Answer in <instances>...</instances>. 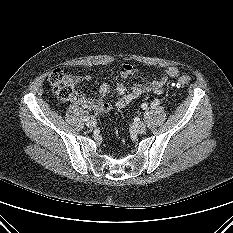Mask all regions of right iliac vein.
I'll return each instance as SVG.
<instances>
[{
	"mask_svg": "<svg viewBox=\"0 0 233 233\" xmlns=\"http://www.w3.org/2000/svg\"><path fill=\"white\" fill-rule=\"evenodd\" d=\"M97 124V121L95 118H91L87 121L86 125L89 127V128H94Z\"/></svg>",
	"mask_w": 233,
	"mask_h": 233,
	"instance_id": "obj_1",
	"label": "right iliac vein"
}]
</instances>
